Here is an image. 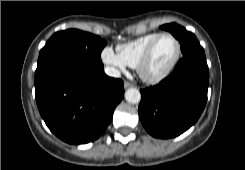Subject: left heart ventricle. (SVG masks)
I'll return each mask as SVG.
<instances>
[{
	"label": "left heart ventricle",
	"mask_w": 245,
	"mask_h": 170,
	"mask_svg": "<svg viewBox=\"0 0 245 170\" xmlns=\"http://www.w3.org/2000/svg\"><path fill=\"white\" fill-rule=\"evenodd\" d=\"M176 51L172 38L163 37L156 44L151 58L146 65V71L150 74L161 72L171 62Z\"/></svg>",
	"instance_id": "b2bd125f"
}]
</instances>
